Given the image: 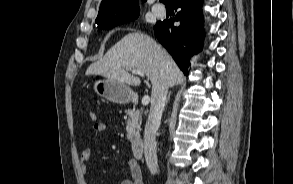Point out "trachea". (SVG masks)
<instances>
[{
  "label": "trachea",
  "instance_id": "trachea-1",
  "mask_svg": "<svg viewBox=\"0 0 293 184\" xmlns=\"http://www.w3.org/2000/svg\"><path fill=\"white\" fill-rule=\"evenodd\" d=\"M160 2H162L164 4H170V0H160Z\"/></svg>",
  "mask_w": 293,
  "mask_h": 184
}]
</instances>
